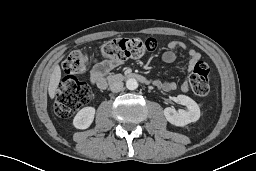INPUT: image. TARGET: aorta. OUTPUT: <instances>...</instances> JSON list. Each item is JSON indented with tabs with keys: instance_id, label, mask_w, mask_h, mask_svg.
I'll use <instances>...</instances> for the list:
<instances>
[{
	"instance_id": "obj_1",
	"label": "aorta",
	"mask_w": 256,
	"mask_h": 171,
	"mask_svg": "<svg viewBox=\"0 0 256 171\" xmlns=\"http://www.w3.org/2000/svg\"><path fill=\"white\" fill-rule=\"evenodd\" d=\"M126 87L129 90H135L138 87V82L134 78H130L126 81Z\"/></svg>"
}]
</instances>
